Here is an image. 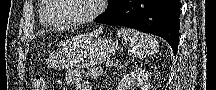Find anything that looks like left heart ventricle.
I'll use <instances>...</instances> for the list:
<instances>
[{"mask_svg": "<svg viewBox=\"0 0 216 90\" xmlns=\"http://www.w3.org/2000/svg\"><path fill=\"white\" fill-rule=\"evenodd\" d=\"M66 1L63 10H59L58 16L50 21L55 25L69 26L81 21L94 7V0H58Z\"/></svg>", "mask_w": 216, "mask_h": 90, "instance_id": "left-heart-ventricle-1", "label": "left heart ventricle"}]
</instances>
